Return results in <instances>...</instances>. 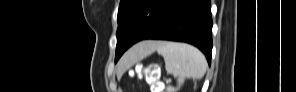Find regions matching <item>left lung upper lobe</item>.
Here are the masks:
<instances>
[{"label": "left lung upper lobe", "instance_id": "1", "mask_svg": "<svg viewBox=\"0 0 296 92\" xmlns=\"http://www.w3.org/2000/svg\"><path fill=\"white\" fill-rule=\"evenodd\" d=\"M169 1L120 0L115 62L130 46L158 27Z\"/></svg>", "mask_w": 296, "mask_h": 92}]
</instances>
